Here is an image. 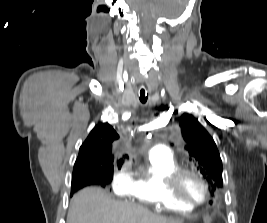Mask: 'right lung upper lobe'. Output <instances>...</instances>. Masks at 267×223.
<instances>
[{"label": "right lung upper lobe", "instance_id": "1", "mask_svg": "<svg viewBox=\"0 0 267 223\" xmlns=\"http://www.w3.org/2000/svg\"><path fill=\"white\" fill-rule=\"evenodd\" d=\"M119 135L108 123H99L90 132L81 145L78 158L73 169V176L81 174H101L113 166L114 157L111 153V143ZM121 166V162L118 163Z\"/></svg>", "mask_w": 267, "mask_h": 223}]
</instances>
